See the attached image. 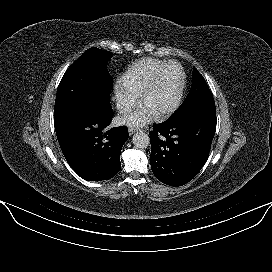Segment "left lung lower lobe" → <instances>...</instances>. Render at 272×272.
<instances>
[{"instance_id":"0a47b994","label":"left lung lower lobe","mask_w":272,"mask_h":272,"mask_svg":"<svg viewBox=\"0 0 272 272\" xmlns=\"http://www.w3.org/2000/svg\"><path fill=\"white\" fill-rule=\"evenodd\" d=\"M216 122V109L211 108L154 125L150 163L155 177L174 187L191 181L208 159Z\"/></svg>"}]
</instances>
